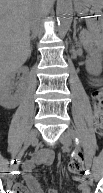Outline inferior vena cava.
<instances>
[{
  "label": "inferior vena cava",
  "instance_id": "1",
  "mask_svg": "<svg viewBox=\"0 0 103 193\" xmlns=\"http://www.w3.org/2000/svg\"><path fill=\"white\" fill-rule=\"evenodd\" d=\"M42 8L45 9L44 7H42ZM37 25H38V21H37V20L35 21V20L33 19V17L31 16L30 26H31V29H32V31L34 32V34H36V32H37V30H38Z\"/></svg>",
  "mask_w": 103,
  "mask_h": 193
}]
</instances>
